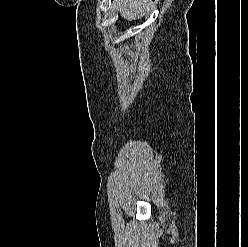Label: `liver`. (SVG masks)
I'll return each mask as SVG.
<instances>
[{
	"instance_id": "6515ba94",
	"label": "liver",
	"mask_w": 248,
	"mask_h": 247,
	"mask_svg": "<svg viewBox=\"0 0 248 247\" xmlns=\"http://www.w3.org/2000/svg\"><path fill=\"white\" fill-rule=\"evenodd\" d=\"M148 5V0H118L117 9L122 18L132 21L140 17V13Z\"/></svg>"
}]
</instances>
